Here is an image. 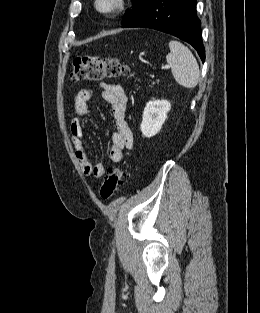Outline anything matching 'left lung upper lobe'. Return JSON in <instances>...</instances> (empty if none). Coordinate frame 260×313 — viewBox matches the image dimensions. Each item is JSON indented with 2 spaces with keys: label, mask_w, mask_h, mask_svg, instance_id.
Segmentation results:
<instances>
[{
  "label": "left lung upper lobe",
  "mask_w": 260,
  "mask_h": 313,
  "mask_svg": "<svg viewBox=\"0 0 260 313\" xmlns=\"http://www.w3.org/2000/svg\"><path fill=\"white\" fill-rule=\"evenodd\" d=\"M133 7L127 11L123 17V26L133 20L150 2L151 0H131Z\"/></svg>",
  "instance_id": "obj_1"
}]
</instances>
